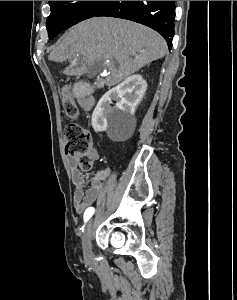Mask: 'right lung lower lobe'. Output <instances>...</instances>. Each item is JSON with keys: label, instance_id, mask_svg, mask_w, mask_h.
Listing matches in <instances>:
<instances>
[{"label": "right lung lower lobe", "instance_id": "1", "mask_svg": "<svg viewBox=\"0 0 237 300\" xmlns=\"http://www.w3.org/2000/svg\"><path fill=\"white\" fill-rule=\"evenodd\" d=\"M94 16L128 19L159 32L172 47L175 22V1H105Z\"/></svg>", "mask_w": 237, "mask_h": 300}]
</instances>
